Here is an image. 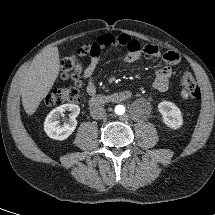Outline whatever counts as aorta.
<instances>
[{"label": "aorta", "mask_w": 215, "mask_h": 215, "mask_svg": "<svg viewBox=\"0 0 215 215\" xmlns=\"http://www.w3.org/2000/svg\"><path fill=\"white\" fill-rule=\"evenodd\" d=\"M115 113H116L117 115H123V114L125 113V108H124V106H122V105L116 106V108H115Z\"/></svg>", "instance_id": "1"}]
</instances>
